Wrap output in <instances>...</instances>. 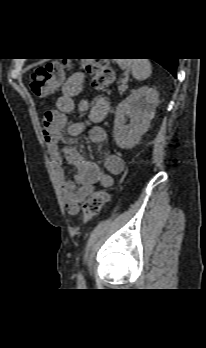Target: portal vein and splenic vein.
Segmentation results:
<instances>
[{
  "mask_svg": "<svg viewBox=\"0 0 206 348\" xmlns=\"http://www.w3.org/2000/svg\"><path fill=\"white\" fill-rule=\"evenodd\" d=\"M122 82L126 83L127 82V78L123 79Z\"/></svg>",
  "mask_w": 206,
  "mask_h": 348,
  "instance_id": "obj_1",
  "label": "portal vein and splenic vein"
}]
</instances>
